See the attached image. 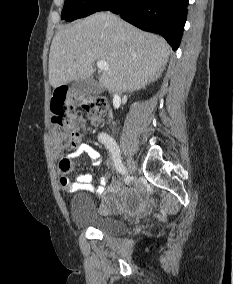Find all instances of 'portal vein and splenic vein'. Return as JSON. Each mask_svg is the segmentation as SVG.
Wrapping results in <instances>:
<instances>
[{
	"label": "portal vein and splenic vein",
	"instance_id": "18ae733b",
	"mask_svg": "<svg viewBox=\"0 0 233 284\" xmlns=\"http://www.w3.org/2000/svg\"><path fill=\"white\" fill-rule=\"evenodd\" d=\"M97 67L102 71H106L109 69V65L105 60H98Z\"/></svg>",
	"mask_w": 233,
	"mask_h": 284
}]
</instances>
